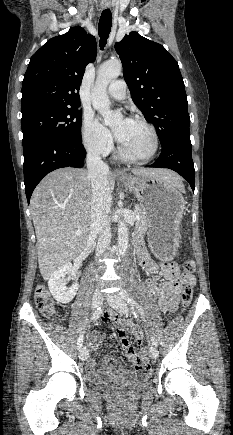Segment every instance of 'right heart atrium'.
Instances as JSON below:
<instances>
[{
    "instance_id": "obj_1",
    "label": "right heart atrium",
    "mask_w": 233,
    "mask_h": 435,
    "mask_svg": "<svg viewBox=\"0 0 233 435\" xmlns=\"http://www.w3.org/2000/svg\"><path fill=\"white\" fill-rule=\"evenodd\" d=\"M81 139L85 149L95 156H104L113 148L109 130L90 114L83 118Z\"/></svg>"
}]
</instances>
